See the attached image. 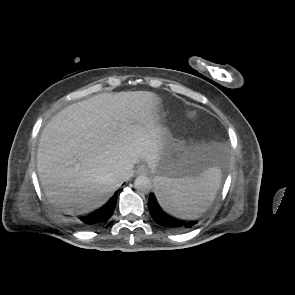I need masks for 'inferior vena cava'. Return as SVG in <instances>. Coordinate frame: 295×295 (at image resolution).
Listing matches in <instances>:
<instances>
[{"label":"inferior vena cava","instance_id":"obj_1","mask_svg":"<svg viewBox=\"0 0 295 295\" xmlns=\"http://www.w3.org/2000/svg\"><path fill=\"white\" fill-rule=\"evenodd\" d=\"M132 174H133V173H130V174L126 175V176L124 177V180L129 179V178L132 176Z\"/></svg>","mask_w":295,"mask_h":295}]
</instances>
